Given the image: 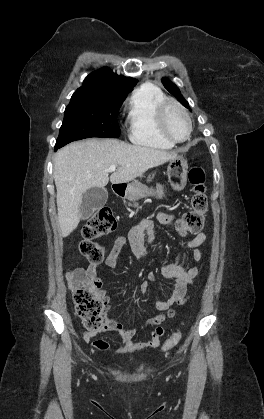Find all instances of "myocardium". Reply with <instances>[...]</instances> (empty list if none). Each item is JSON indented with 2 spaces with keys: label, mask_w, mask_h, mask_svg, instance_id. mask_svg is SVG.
I'll use <instances>...</instances> for the list:
<instances>
[{
  "label": "myocardium",
  "mask_w": 264,
  "mask_h": 419,
  "mask_svg": "<svg viewBox=\"0 0 264 419\" xmlns=\"http://www.w3.org/2000/svg\"><path fill=\"white\" fill-rule=\"evenodd\" d=\"M176 108L177 110H179L183 116L185 117L187 124H188V134L184 139H176L174 138L167 130L166 128V114L169 108ZM156 122H157V129L160 133V135L168 142L172 143V144H180L183 143L185 141H187L191 134H192V121L190 118L189 113L187 112V110L177 101L175 100H171V99H165L164 101H162L158 108H157V114H156Z\"/></svg>",
  "instance_id": "obj_1"
}]
</instances>
